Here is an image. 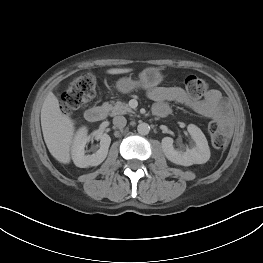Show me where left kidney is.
I'll return each instance as SVG.
<instances>
[{"label":"left kidney","instance_id":"left-kidney-1","mask_svg":"<svg viewBox=\"0 0 263 263\" xmlns=\"http://www.w3.org/2000/svg\"><path fill=\"white\" fill-rule=\"evenodd\" d=\"M187 130L194 140L195 146L191 149H186V151H178L173 147V139L164 137L162 139V149L166 158L182 166L207 162L210 157V149L205 135L194 124H189Z\"/></svg>","mask_w":263,"mask_h":263}]
</instances>
